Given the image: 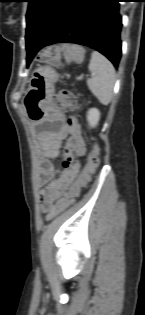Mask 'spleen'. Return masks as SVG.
I'll return each mask as SVG.
<instances>
[{
  "label": "spleen",
  "instance_id": "spleen-1",
  "mask_svg": "<svg viewBox=\"0 0 145 315\" xmlns=\"http://www.w3.org/2000/svg\"><path fill=\"white\" fill-rule=\"evenodd\" d=\"M88 68L92 73V78L87 80L90 91L103 105H108L113 97L115 83V69L112 63L94 51Z\"/></svg>",
  "mask_w": 145,
  "mask_h": 315
}]
</instances>
